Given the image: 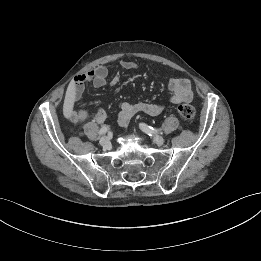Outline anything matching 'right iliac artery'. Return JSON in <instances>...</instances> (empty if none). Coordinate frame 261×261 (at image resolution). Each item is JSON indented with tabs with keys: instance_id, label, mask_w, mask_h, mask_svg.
<instances>
[{
	"instance_id": "82829eb1",
	"label": "right iliac artery",
	"mask_w": 261,
	"mask_h": 261,
	"mask_svg": "<svg viewBox=\"0 0 261 261\" xmlns=\"http://www.w3.org/2000/svg\"><path fill=\"white\" fill-rule=\"evenodd\" d=\"M109 130V126H103L100 130H99V135H103L105 134L106 132H108Z\"/></svg>"
}]
</instances>
